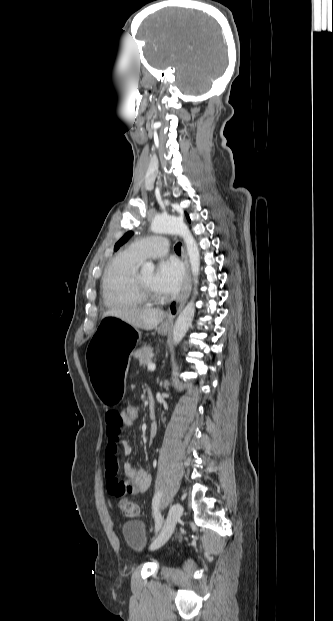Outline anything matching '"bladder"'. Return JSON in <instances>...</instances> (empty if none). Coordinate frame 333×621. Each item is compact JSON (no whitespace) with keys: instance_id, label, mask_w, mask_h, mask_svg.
Returning a JSON list of instances; mask_svg holds the SVG:
<instances>
[{"instance_id":"31cf9c89","label":"bladder","mask_w":333,"mask_h":621,"mask_svg":"<svg viewBox=\"0 0 333 621\" xmlns=\"http://www.w3.org/2000/svg\"><path fill=\"white\" fill-rule=\"evenodd\" d=\"M122 536L125 545L131 551L145 555L148 553V535L146 526L139 520H129L122 526Z\"/></svg>"}]
</instances>
